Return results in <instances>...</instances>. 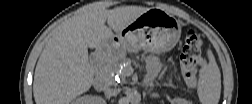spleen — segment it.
<instances>
[{"mask_svg": "<svg viewBox=\"0 0 252 104\" xmlns=\"http://www.w3.org/2000/svg\"><path fill=\"white\" fill-rule=\"evenodd\" d=\"M209 63L199 70L197 93L202 104H217L221 93V75L211 50L207 51Z\"/></svg>", "mask_w": 252, "mask_h": 104, "instance_id": "1", "label": "spleen"}]
</instances>
